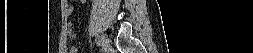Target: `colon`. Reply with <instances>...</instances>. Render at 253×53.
<instances>
[{
  "mask_svg": "<svg viewBox=\"0 0 253 53\" xmlns=\"http://www.w3.org/2000/svg\"><path fill=\"white\" fill-rule=\"evenodd\" d=\"M70 53H77V49L74 46H72L70 49Z\"/></svg>",
  "mask_w": 253,
  "mask_h": 53,
  "instance_id": "5ec220e1",
  "label": "colon"
}]
</instances>
